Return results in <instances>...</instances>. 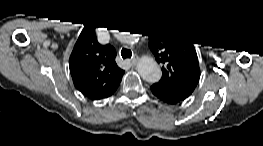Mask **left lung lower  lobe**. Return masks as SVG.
I'll return each mask as SVG.
<instances>
[{"mask_svg": "<svg viewBox=\"0 0 263 146\" xmlns=\"http://www.w3.org/2000/svg\"><path fill=\"white\" fill-rule=\"evenodd\" d=\"M151 91L157 98L168 104H176L182 101V99L175 96L167 87L160 83L153 84Z\"/></svg>", "mask_w": 263, "mask_h": 146, "instance_id": "0a47b994", "label": "left lung lower lobe"}]
</instances>
